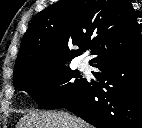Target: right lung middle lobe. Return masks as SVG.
Wrapping results in <instances>:
<instances>
[{"label": "right lung middle lobe", "instance_id": "right-lung-middle-lobe-1", "mask_svg": "<svg viewBox=\"0 0 142 128\" xmlns=\"http://www.w3.org/2000/svg\"><path fill=\"white\" fill-rule=\"evenodd\" d=\"M14 86L26 91L42 109L63 108L87 81L63 64L38 62L14 72Z\"/></svg>", "mask_w": 142, "mask_h": 128}]
</instances>
